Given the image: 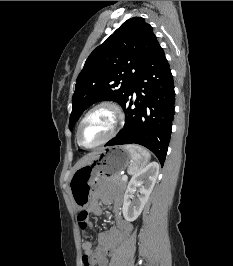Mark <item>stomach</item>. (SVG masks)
Listing matches in <instances>:
<instances>
[{
    "mask_svg": "<svg viewBox=\"0 0 233 266\" xmlns=\"http://www.w3.org/2000/svg\"><path fill=\"white\" fill-rule=\"evenodd\" d=\"M131 164V155L123 146L102 149L93 161L72 174L69 189L78 210L86 207L92 190L108 176L120 174Z\"/></svg>",
    "mask_w": 233,
    "mask_h": 266,
    "instance_id": "stomach-1",
    "label": "stomach"
}]
</instances>
